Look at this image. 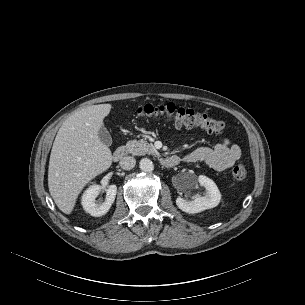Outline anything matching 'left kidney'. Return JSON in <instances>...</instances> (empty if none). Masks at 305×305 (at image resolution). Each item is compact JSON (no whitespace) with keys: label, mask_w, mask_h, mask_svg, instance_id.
<instances>
[{"label":"left kidney","mask_w":305,"mask_h":305,"mask_svg":"<svg viewBox=\"0 0 305 305\" xmlns=\"http://www.w3.org/2000/svg\"><path fill=\"white\" fill-rule=\"evenodd\" d=\"M197 180L206 189L205 196H197L194 200H186L181 197L176 199L178 208L189 214L214 208L221 200L220 191L213 180L204 175H200Z\"/></svg>","instance_id":"obj_1"}]
</instances>
